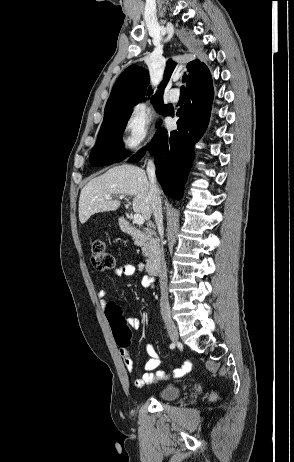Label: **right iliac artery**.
I'll list each match as a JSON object with an SVG mask.
<instances>
[{
    "label": "right iliac artery",
    "mask_w": 294,
    "mask_h": 462,
    "mask_svg": "<svg viewBox=\"0 0 294 462\" xmlns=\"http://www.w3.org/2000/svg\"><path fill=\"white\" fill-rule=\"evenodd\" d=\"M174 347H175V344H174V343L170 344V348H171V349H173Z\"/></svg>",
    "instance_id": "obj_1"
}]
</instances>
